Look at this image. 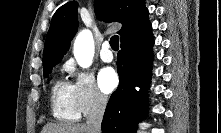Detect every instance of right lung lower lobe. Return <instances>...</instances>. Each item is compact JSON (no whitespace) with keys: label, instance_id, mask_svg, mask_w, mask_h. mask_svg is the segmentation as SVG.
<instances>
[{"label":"right lung lower lobe","instance_id":"1","mask_svg":"<svg viewBox=\"0 0 221 133\" xmlns=\"http://www.w3.org/2000/svg\"><path fill=\"white\" fill-rule=\"evenodd\" d=\"M151 30L121 41L117 56L119 86L107 104L102 121L103 133H135L146 112V91L153 60ZM141 88L139 92L135 87Z\"/></svg>","mask_w":221,"mask_h":133}]
</instances>
